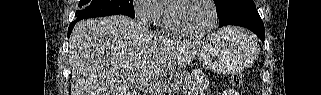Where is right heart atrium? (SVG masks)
I'll list each match as a JSON object with an SVG mask.
<instances>
[{"mask_svg": "<svg viewBox=\"0 0 321 95\" xmlns=\"http://www.w3.org/2000/svg\"><path fill=\"white\" fill-rule=\"evenodd\" d=\"M133 12L138 22L149 26L156 23L162 10L157 0H136L133 2Z\"/></svg>", "mask_w": 321, "mask_h": 95, "instance_id": "1", "label": "right heart atrium"}]
</instances>
